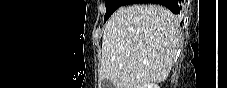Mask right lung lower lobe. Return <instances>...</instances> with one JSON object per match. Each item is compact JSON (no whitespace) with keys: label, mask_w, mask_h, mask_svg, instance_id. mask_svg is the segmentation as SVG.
Wrapping results in <instances>:
<instances>
[{"label":"right lung lower lobe","mask_w":227,"mask_h":88,"mask_svg":"<svg viewBox=\"0 0 227 88\" xmlns=\"http://www.w3.org/2000/svg\"><path fill=\"white\" fill-rule=\"evenodd\" d=\"M129 4L133 3H155L167 7L174 14H180L182 10L181 0H129Z\"/></svg>","instance_id":"1"}]
</instances>
